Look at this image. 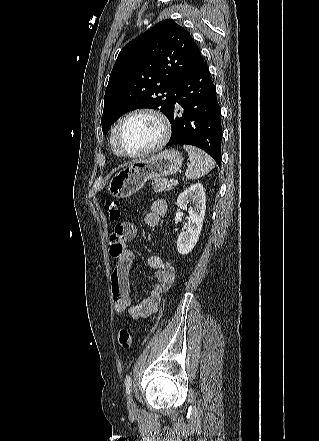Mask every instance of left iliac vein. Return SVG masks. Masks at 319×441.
<instances>
[{"instance_id":"1","label":"left iliac vein","mask_w":319,"mask_h":441,"mask_svg":"<svg viewBox=\"0 0 319 441\" xmlns=\"http://www.w3.org/2000/svg\"><path fill=\"white\" fill-rule=\"evenodd\" d=\"M128 409L131 411V412H135L136 411V405H135V403H134V401H133V399H132V397H128Z\"/></svg>"}]
</instances>
